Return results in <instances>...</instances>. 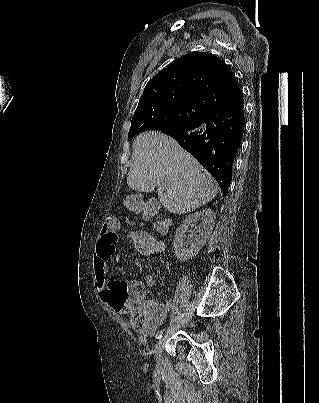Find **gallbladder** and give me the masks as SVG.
<instances>
[{"mask_svg":"<svg viewBox=\"0 0 319 403\" xmlns=\"http://www.w3.org/2000/svg\"><path fill=\"white\" fill-rule=\"evenodd\" d=\"M150 202V201H149ZM149 202H147L145 205H144V209L146 210V211H148L149 210V208H150V206H149Z\"/></svg>","mask_w":319,"mask_h":403,"instance_id":"obj_1","label":"gallbladder"}]
</instances>
